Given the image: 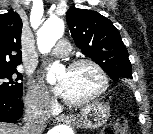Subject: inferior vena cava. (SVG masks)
<instances>
[{
  "mask_svg": "<svg viewBox=\"0 0 153 134\" xmlns=\"http://www.w3.org/2000/svg\"><path fill=\"white\" fill-rule=\"evenodd\" d=\"M25 107L23 134H42L48 120L44 104L38 101H29L26 102Z\"/></svg>",
  "mask_w": 153,
  "mask_h": 134,
  "instance_id": "obj_1",
  "label": "inferior vena cava"
}]
</instances>
